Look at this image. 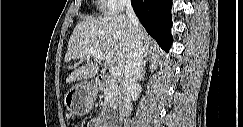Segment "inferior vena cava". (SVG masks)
<instances>
[{"label": "inferior vena cava", "instance_id": "1", "mask_svg": "<svg viewBox=\"0 0 243 127\" xmlns=\"http://www.w3.org/2000/svg\"><path fill=\"white\" fill-rule=\"evenodd\" d=\"M126 15L132 23L133 26V35L130 45V51L128 54L127 59V67L124 72V77L122 80V87L127 95L124 101V108H125V115H124V125L128 123V116L132 110V103H131V93L136 89L137 82L140 78L141 71L144 65V47L141 42L140 38V24L138 18L134 12L132 7L131 1L126 0Z\"/></svg>", "mask_w": 243, "mask_h": 127}]
</instances>
